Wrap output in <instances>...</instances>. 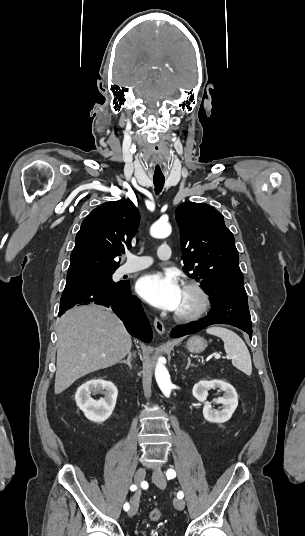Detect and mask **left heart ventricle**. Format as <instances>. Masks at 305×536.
I'll list each match as a JSON object with an SVG mask.
<instances>
[{
    "label": "left heart ventricle",
    "instance_id": "b2bd125f",
    "mask_svg": "<svg viewBox=\"0 0 305 536\" xmlns=\"http://www.w3.org/2000/svg\"><path fill=\"white\" fill-rule=\"evenodd\" d=\"M199 305V299L198 296L192 292L188 291L182 288V298L180 305L178 307V311H190Z\"/></svg>",
    "mask_w": 305,
    "mask_h": 536
}]
</instances>
